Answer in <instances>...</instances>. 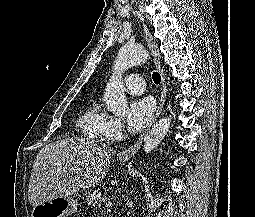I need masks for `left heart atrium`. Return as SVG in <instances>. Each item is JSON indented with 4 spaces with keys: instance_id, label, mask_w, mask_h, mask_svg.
Here are the masks:
<instances>
[{
    "instance_id": "obj_1",
    "label": "left heart atrium",
    "mask_w": 255,
    "mask_h": 217,
    "mask_svg": "<svg viewBox=\"0 0 255 217\" xmlns=\"http://www.w3.org/2000/svg\"><path fill=\"white\" fill-rule=\"evenodd\" d=\"M154 112V103L150 98H137L130 102L126 118L128 131L137 133L151 120Z\"/></svg>"
}]
</instances>
